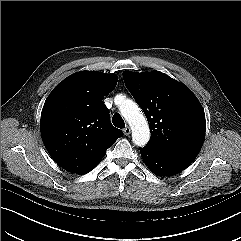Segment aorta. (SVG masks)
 Returning a JSON list of instances; mask_svg holds the SVG:
<instances>
[{"label":"aorta","mask_w":241,"mask_h":241,"mask_svg":"<svg viewBox=\"0 0 241 241\" xmlns=\"http://www.w3.org/2000/svg\"><path fill=\"white\" fill-rule=\"evenodd\" d=\"M119 110L132 129L133 143L140 147L145 146L150 139V129L138 105L130 99H124Z\"/></svg>","instance_id":"obj_1"}]
</instances>
